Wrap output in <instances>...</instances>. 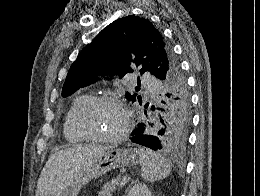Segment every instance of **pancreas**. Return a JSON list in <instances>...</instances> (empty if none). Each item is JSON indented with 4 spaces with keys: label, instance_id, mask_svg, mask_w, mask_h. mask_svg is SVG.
<instances>
[{
    "label": "pancreas",
    "instance_id": "cf45deb5",
    "mask_svg": "<svg viewBox=\"0 0 260 196\" xmlns=\"http://www.w3.org/2000/svg\"><path fill=\"white\" fill-rule=\"evenodd\" d=\"M121 176L119 178H114V180H111V182H107V184H104L103 188L99 190L98 196H112V192H115L117 190L119 184H120Z\"/></svg>",
    "mask_w": 260,
    "mask_h": 196
}]
</instances>
